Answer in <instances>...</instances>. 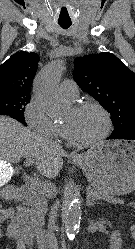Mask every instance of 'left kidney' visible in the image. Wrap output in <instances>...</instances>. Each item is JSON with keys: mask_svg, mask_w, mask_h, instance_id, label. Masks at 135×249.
<instances>
[{"mask_svg": "<svg viewBox=\"0 0 135 249\" xmlns=\"http://www.w3.org/2000/svg\"><path fill=\"white\" fill-rule=\"evenodd\" d=\"M122 246L121 234L114 231L110 236V249H120Z\"/></svg>", "mask_w": 135, "mask_h": 249, "instance_id": "5707ae66", "label": "left kidney"}]
</instances>
